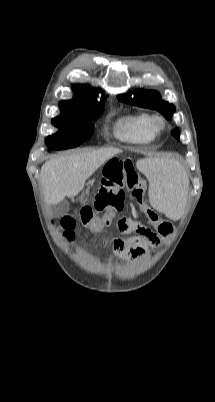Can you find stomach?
<instances>
[{
	"mask_svg": "<svg viewBox=\"0 0 215 402\" xmlns=\"http://www.w3.org/2000/svg\"><path fill=\"white\" fill-rule=\"evenodd\" d=\"M85 194L88 195V191H86ZM85 194H82V196L80 197L81 200H83V197H84Z\"/></svg>",
	"mask_w": 215,
	"mask_h": 402,
	"instance_id": "1",
	"label": "stomach"
}]
</instances>
